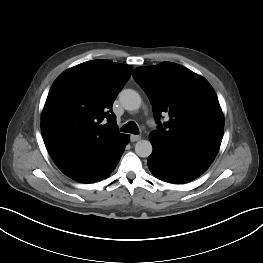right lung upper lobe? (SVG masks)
I'll return each mask as SVG.
<instances>
[{
  "label": "right lung upper lobe",
  "mask_w": 263,
  "mask_h": 263,
  "mask_svg": "<svg viewBox=\"0 0 263 263\" xmlns=\"http://www.w3.org/2000/svg\"><path fill=\"white\" fill-rule=\"evenodd\" d=\"M129 65L99 59L63 72L53 83L41 117L45 146L59 168L119 145L113 102L131 76Z\"/></svg>",
  "instance_id": "1"
}]
</instances>
